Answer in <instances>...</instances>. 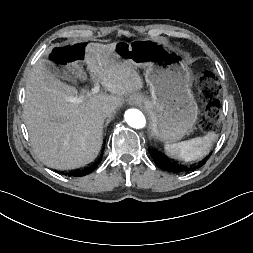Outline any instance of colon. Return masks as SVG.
<instances>
[{"label": "colon", "mask_w": 253, "mask_h": 253, "mask_svg": "<svg viewBox=\"0 0 253 253\" xmlns=\"http://www.w3.org/2000/svg\"><path fill=\"white\" fill-rule=\"evenodd\" d=\"M84 45L81 43L59 47L53 50V60L58 64H70L83 59ZM197 85L201 96L207 101L205 113L200 120V128L204 132L215 129L219 119L220 106L216 98L219 95V84L213 74L203 72L198 76Z\"/></svg>", "instance_id": "obj_1"}]
</instances>
